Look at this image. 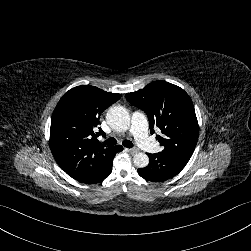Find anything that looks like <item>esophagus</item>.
Here are the masks:
<instances>
[{"label":"esophagus","mask_w":251,"mask_h":251,"mask_svg":"<svg viewBox=\"0 0 251 251\" xmlns=\"http://www.w3.org/2000/svg\"><path fill=\"white\" fill-rule=\"evenodd\" d=\"M128 151H129V153H131V154H136V153H138L140 150H139L138 148L134 147V148L128 149Z\"/></svg>","instance_id":"esophagus-1"}]
</instances>
